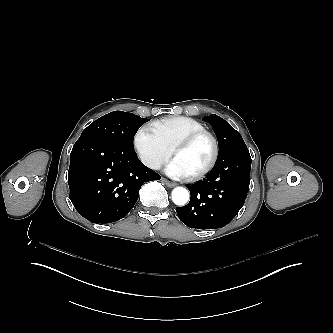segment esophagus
<instances>
[{
    "label": "esophagus",
    "mask_w": 333,
    "mask_h": 333,
    "mask_svg": "<svg viewBox=\"0 0 333 333\" xmlns=\"http://www.w3.org/2000/svg\"><path fill=\"white\" fill-rule=\"evenodd\" d=\"M161 180H162V181L165 183V185L168 186V187H174V186H176V183H174V182H172V181H170V180H168V179H166V178H164V177H162Z\"/></svg>",
    "instance_id": "34e87169"
}]
</instances>
